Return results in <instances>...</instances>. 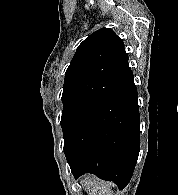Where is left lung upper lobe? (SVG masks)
Returning <instances> with one entry per match:
<instances>
[{
	"mask_svg": "<svg viewBox=\"0 0 178 195\" xmlns=\"http://www.w3.org/2000/svg\"><path fill=\"white\" fill-rule=\"evenodd\" d=\"M133 81L123 41L109 28L86 38L67 68L62 94L64 148Z\"/></svg>",
	"mask_w": 178,
	"mask_h": 195,
	"instance_id": "obj_1",
	"label": "left lung upper lobe"
}]
</instances>
